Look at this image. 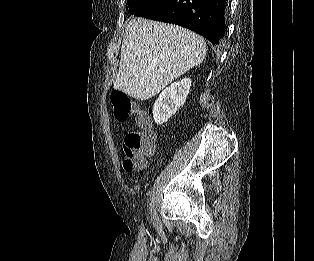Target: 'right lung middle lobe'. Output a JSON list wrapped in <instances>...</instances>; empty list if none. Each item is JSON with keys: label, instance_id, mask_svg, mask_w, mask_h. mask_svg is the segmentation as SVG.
<instances>
[{"label": "right lung middle lobe", "instance_id": "dd1d6c3e", "mask_svg": "<svg viewBox=\"0 0 314 261\" xmlns=\"http://www.w3.org/2000/svg\"><path fill=\"white\" fill-rule=\"evenodd\" d=\"M166 0H127L130 14L144 16Z\"/></svg>", "mask_w": 314, "mask_h": 261}]
</instances>
